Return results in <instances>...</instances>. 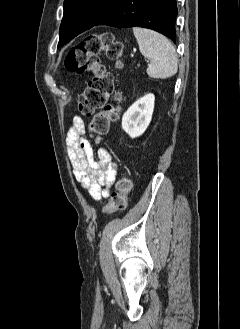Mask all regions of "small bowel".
Segmentation results:
<instances>
[{"mask_svg": "<svg viewBox=\"0 0 240 329\" xmlns=\"http://www.w3.org/2000/svg\"><path fill=\"white\" fill-rule=\"evenodd\" d=\"M85 133L84 120L74 116L67 132L68 154L75 179L94 200H100L108 197L118 169L104 148L98 150L95 158L90 142L84 137Z\"/></svg>", "mask_w": 240, "mask_h": 329, "instance_id": "obj_1", "label": "small bowel"}]
</instances>
